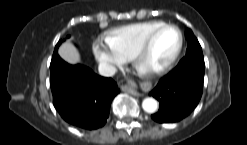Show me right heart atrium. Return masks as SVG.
Returning <instances> with one entry per match:
<instances>
[{"instance_id":"right-heart-atrium-1","label":"right heart atrium","mask_w":247,"mask_h":145,"mask_svg":"<svg viewBox=\"0 0 247 145\" xmlns=\"http://www.w3.org/2000/svg\"><path fill=\"white\" fill-rule=\"evenodd\" d=\"M92 52L98 63L108 67H120L126 60L107 41L96 40Z\"/></svg>"}]
</instances>
